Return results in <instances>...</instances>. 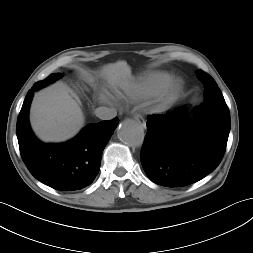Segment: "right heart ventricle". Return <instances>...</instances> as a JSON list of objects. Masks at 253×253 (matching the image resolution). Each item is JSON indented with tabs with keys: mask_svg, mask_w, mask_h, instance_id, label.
Listing matches in <instances>:
<instances>
[{
	"mask_svg": "<svg viewBox=\"0 0 253 253\" xmlns=\"http://www.w3.org/2000/svg\"><path fill=\"white\" fill-rule=\"evenodd\" d=\"M169 80V75H160L156 79L146 84L135 85L130 93L136 96H145L152 93L155 88L163 85Z\"/></svg>",
	"mask_w": 253,
	"mask_h": 253,
	"instance_id": "right-heart-ventricle-1",
	"label": "right heart ventricle"
}]
</instances>
